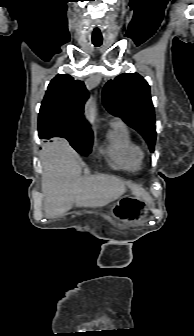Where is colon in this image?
Instances as JSON below:
<instances>
[{
  "instance_id": "colon-1",
  "label": "colon",
  "mask_w": 194,
  "mask_h": 336,
  "mask_svg": "<svg viewBox=\"0 0 194 336\" xmlns=\"http://www.w3.org/2000/svg\"><path fill=\"white\" fill-rule=\"evenodd\" d=\"M141 204L135 200H127L125 201L120 208L118 209V213L125 214L126 216H130L133 214V211L139 210Z\"/></svg>"
}]
</instances>
